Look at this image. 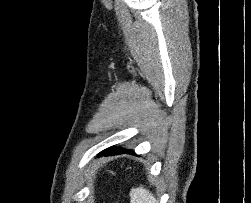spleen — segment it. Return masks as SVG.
<instances>
[{"mask_svg": "<svg viewBox=\"0 0 251 203\" xmlns=\"http://www.w3.org/2000/svg\"><path fill=\"white\" fill-rule=\"evenodd\" d=\"M131 203H157V200L148 190L142 186L132 188L130 191Z\"/></svg>", "mask_w": 251, "mask_h": 203, "instance_id": "1", "label": "spleen"}]
</instances>
